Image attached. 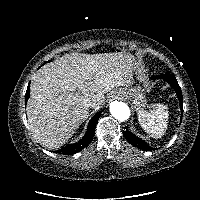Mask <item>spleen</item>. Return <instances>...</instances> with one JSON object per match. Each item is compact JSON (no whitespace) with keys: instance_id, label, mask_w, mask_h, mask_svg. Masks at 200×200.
Instances as JSON below:
<instances>
[{"instance_id":"1","label":"spleen","mask_w":200,"mask_h":200,"mask_svg":"<svg viewBox=\"0 0 200 200\" xmlns=\"http://www.w3.org/2000/svg\"><path fill=\"white\" fill-rule=\"evenodd\" d=\"M153 110H139L138 121L141 127L153 138H161L168 126V111L164 104H154Z\"/></svg>"}]
</instances>
